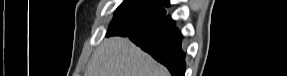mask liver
Listing matches in <instances>:
<instances>
[{
  "instance_id": "liver-1",
  "label": "liver",
  "mask_w": 287,
  "mask_h": 76,
  "mask_svg": "<svg viewBox=\"0 0 287 76\" xmlns=\"http://www.w3.org/2000/svg\"><path fill=\"white\" fill-rule=\"evenodd\" d=\"M87 76H169V72L128 38L110 37L90 58Z\"/></svg>"
}]
</instances>
